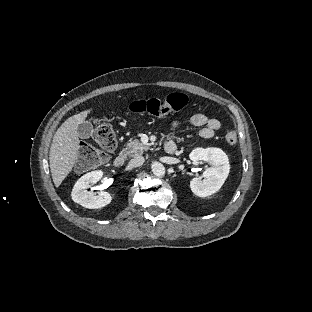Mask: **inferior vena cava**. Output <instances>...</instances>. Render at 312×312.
Instances as JSON below:
<instances>
[{"label":"inferior vena cava","mask_w":312,"mask_h":312,"mask_svg":"<svg viewBox=\"0 0 312 312\" xmlns=\"http://www.w3.org/2000/svg\"><path fill=\"white\" fill-rule=\"evenodd\" d=\"M144 161H145L144 157L138 155V156H135L133 159L130 160L129 165L131 167H139V166L143 165Z\"/></svg>","instance_id":"obj_1"}]
</instances>
